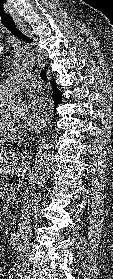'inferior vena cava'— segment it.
I'll use <instances>...</instances> for the list:
<instances>
[{"label": "inferior vena cava", "instance_id": "1", "mask_svg": "<svg viewBox=\"0 0 113 279\" xmlns=\"http://www.w3.org/2000/svg\"><path fill=\"white\" fill-rule=\"evenodd\" d=\"M31 204L28 202V190L25 191L22 223L20 226L21 240L18 244L15 267L21 273H30L29 253L31 249Z\"/></svg>", "mask_w": 113, "mask_h": 279}]
</instances>
